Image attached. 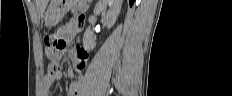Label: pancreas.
<instances>
[{"instance_id": "obj_1", "label": "pancreas", "mask_w": 232, "mask_h": 96, "mask_svg": "<svg viewBox=\"0 0 232 96\" xmlns=\"http://www.w3.org/2000/svg\"><path fill=\"white\" fill-rule=\"evenodd\" d=\"M87 9H88V6L85 4V2H81L73 6L72 13L76 14L78 13V11L85 12Z\"/></svg>"}]
</instances>
